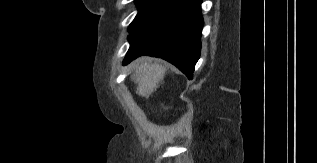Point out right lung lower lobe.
<instances>
[{
    "mask_svg": "<svg viewBox=\"0 0 317 163\" xmlns=\"http://www.w3.org/2000/svg\"><path fill=\"white\" fill-rule=\"evenodd\" d=\"M202 0H179L149 27L130 37L124 64L140 55L162 58L191 79L200 57Z\"/></svg>",
    "mask_w": 317,
    "mask_h": 163,
    "instance_id": "98d812e1",
    "label": "right lung lower lobe"
}]
</instances>
